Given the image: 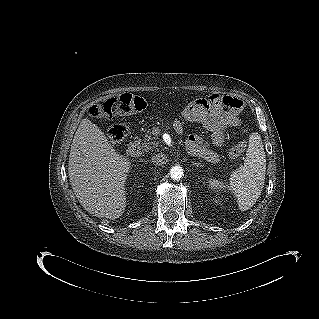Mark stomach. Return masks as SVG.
Instances as JSON below:
<instances>
[{
    "label": "stomach",
    "mask_w": 319,
    "mask_h": 319,
    "mask_svg": "<svg viewBox=\"0 0 319 319\" xmlns=\"http://www.w3.org/2000/svg\"><path fill=\"white\" fill-rule=\"evenodd\" d=\"M204 107L197 102L188 104L183 110L185 120L189 122H198L203 116Z\"/></svg>",
    "instance_id": "obj_1"
}]
</instances>
